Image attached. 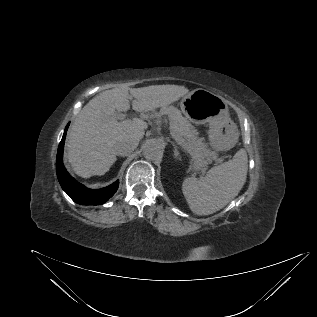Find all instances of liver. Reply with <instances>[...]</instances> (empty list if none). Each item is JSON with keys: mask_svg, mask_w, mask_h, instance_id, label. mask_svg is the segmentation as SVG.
I'll return each instance as SVG.
<instances>
[{"mask_svg": "<svg viewBox=\"0 0 317 317\" xmlns=\"http://www.w3.org/2000/svg\"><path fill=\"white\" fill-rule=\"evenodd\" d=\"M188 93L178 85H151L142 88L121 86L92 98L78 113L67 136L68 161L74 172L89 178L104 175L117 160L115 147L124 141L139 142L147 128L140 118L117 121V111L132 107L141 114L165 107Z\"/></svg>", "mask_w": 317, "mask_h": 317, "instance_id": "6515ba94", "label": "liver"}]
</instances>
